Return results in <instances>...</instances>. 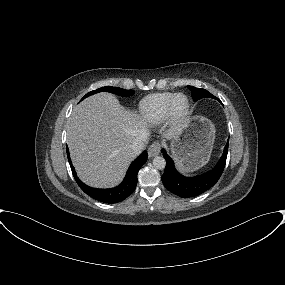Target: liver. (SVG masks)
<instances>
[{"label": "liver", "mask_w": 285, "mask_h": 285, "mask_svg": "<svg viewBox=\"0 0 285 285\" xmlns=\"http://www.w3.org/2000/svg\"><path fill=\"white\" fill-rule=\"evenodd\" d=\"M147 121L126 110L110 93H98L74 107L67 121V144L80 179L89 186L109 188L120 183L136 157L130 145ZM180 129L164 137L174 138Z\"/></svg>", "instance_id": "liver-1"}]
</instances>
